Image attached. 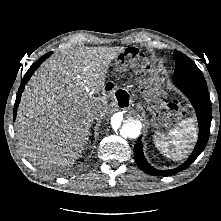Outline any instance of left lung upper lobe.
Segmentation results:
<instances>
[{
  "mask_svg": "<svg viewBox=\"0 0 221 221\" xmlns=\"http://www.w3.org/2000/svg\"><path fill=\"white\" fill-rule=\"evenodd\" d=\"M174 57L176 60L174 78L203 76L201 70L196 66V64L183 53L174 51Z\"/></svg>",
  "mask_w": 221,
  "mask_h": 221,
  "instance_id": "obj_1",
  "label": "left lung upper lobe"
}]
</instances>
